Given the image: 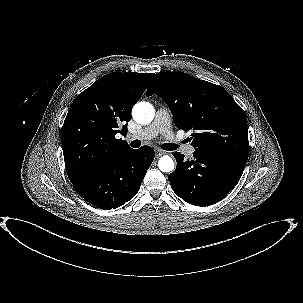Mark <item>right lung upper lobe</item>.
Segmentation results:
<instances>
[{"label": "right lung upper lobe", "mask_w": 303, "mask_h": 303, "mask_svg": "<svg viewBox=\"0 0 303 303\" xmlns=\"http://www.w3.org/2000/svg\"><path fill=\"white\" fill-rule=\"evenodd\" d=\"M154 73L107 74L80 93L62 127V149L71 183L132 149L115 135L127 134L131 110Z\"/></svg>", "instance_id": "1"}]
</instances>
